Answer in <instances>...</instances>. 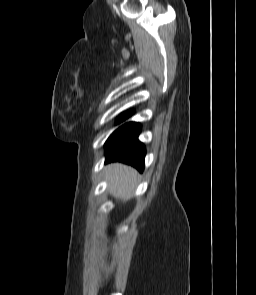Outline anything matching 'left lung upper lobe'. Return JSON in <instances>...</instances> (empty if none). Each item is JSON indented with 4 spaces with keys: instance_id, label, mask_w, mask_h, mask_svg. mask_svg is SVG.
Listing matches in <instances>:
<instances>
[{
    "instance_id": "1",
    "label": "left lung upper lobe",
    "mask_w": 256,
    "mask_h": 295,
    "mask_svg": "<svg viewBox=\"0 0 256 295\" xmlns=\"http://www.w3.org/2000/svg\"><path fill=\"white\" fill-rule=\"evenodd\" d=\"M131 112L125 113L121 116L120 120H123L125 117L129 116Z\"/></svg>"
}]
</instances>
